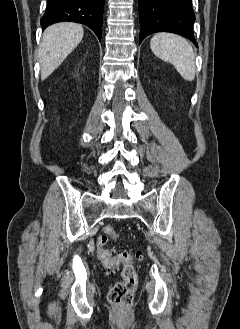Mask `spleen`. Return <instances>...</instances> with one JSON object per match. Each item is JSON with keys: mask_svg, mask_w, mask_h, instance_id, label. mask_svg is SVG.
<instances>
[{"mask_svg": "<svg viewBox=\"0 0 240 329\" xmlns=\"http://www.w3.org/2000/svg\"><path fill=\"white\" fill-rule=\"evenodd\" d=\"M150 48L157 57L172 63L184 80L195 79V54L186 39L172 33H157Z\"/></svg>", "mask_w": 240, "mask_h": 329, "instance_id": "3e777b00", "label": "spleen"}]
</instances>
